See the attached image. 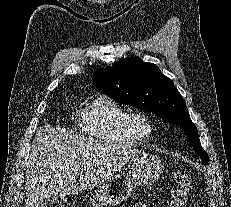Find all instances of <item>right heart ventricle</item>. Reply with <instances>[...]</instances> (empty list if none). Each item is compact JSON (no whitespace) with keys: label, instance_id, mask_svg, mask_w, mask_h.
Listing matches in <instances>:
<instances>
[{"label":"right heart ventricle","instance_id":"right-heart-ventricle-1","mask_svg":"<svg viewBox=\"0 0 231 207\" xmlns=\"http://www.w3.org/2000/svg\"><path fill=\"white\" fill-rule=\"evenodd\" d=\"M129 110L108 96L99 94L76 110L78 127L85 135L103 140L138 144L131 129Z\"/></svg>","mask_w":231,"mask_h":207}]
</instances>
